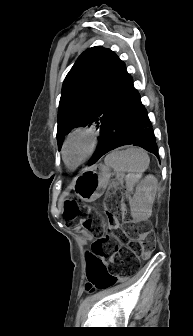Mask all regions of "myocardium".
<instances>
[{"label":"myocardium","mask_w":193,"mask_h":336,"mask_svg":"<svg viewBox=\"0 0 193 336\" xmlns=\"http://www.w3.org/2000/svg\"><path fill=\"white\" fill-rule=\"evenodd\" d=\"M77 136L87 137L89 139V147H88V150L85 156L76 164L71 165L66 158L67 146ZM98 143H99V137L95 129H92L89 127H78V128L73 129L71 132L67 134L61 146V155H62V159L64 163L70 169H75L79 167L94 154V152L96 151L98 147Z\"/></svg>","instance_id":"1"}]
</instances>
